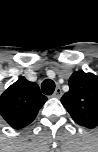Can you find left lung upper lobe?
I'll return each instance as SVG.
<instances>
[{"label":"left lung upper lobe","mask_w":98,"mask_h":152,"mask_svg":"<svg viewBox=\"0 0 98 152\" xmlns=\"http://www.w3.org/2000/svg\"><path fill=\"white\" fill-rule=\"evenodd\" d=\"M61 102L76 123L98 127V76L82 70L74 72Z\"/></svg>","instance_id":"left-lung-upper-lobe-1"}]
</instances>
